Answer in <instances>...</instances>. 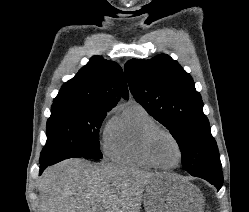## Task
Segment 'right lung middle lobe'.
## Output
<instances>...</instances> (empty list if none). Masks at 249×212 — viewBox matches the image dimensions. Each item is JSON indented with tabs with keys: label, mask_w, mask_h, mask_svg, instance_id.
<instances>
[{
	"label": "right lung middle lobe",
	"mask_w": 249,
	"mask_h": 212,
	"mask_svg": "<svg viewBox=\"0 0 249 212\" xmlns=\"http://www.w3.org/2000/svg\"><path fill=\"white\" fill-rule=\"evenodd\" d=\"M110 110L81 102L54 101L40 162L73 157L101 159L99 128Z\"/></svg>",
	"instance_id": "right-lung-middle-lobe-1"
}]
</instances>
